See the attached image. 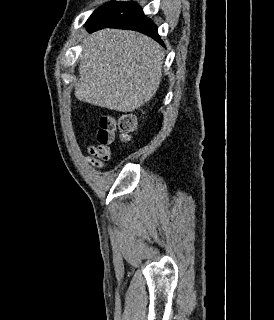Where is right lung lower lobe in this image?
Listing matches in <instances>:
<instances>
[{"instance_id":"right-lung-lower-lobe-1","label":"right lung lower lobe","mask_w":274,"mask_h":320,"mask_svg":"<svg viewBox=\"0 0 274 320\" xmlns=\"http://www.w3.org/2000/svg\"><path fill=\"white\" fill-rule=\"evenodd\" d=\"M86 27L90 33L106 27L135 30L163 44L156 25L144 16L142 9L135 2L121 3L110 13L91 24H87Z\"/></svg>"}]
</instances>
